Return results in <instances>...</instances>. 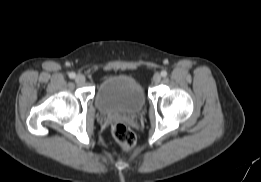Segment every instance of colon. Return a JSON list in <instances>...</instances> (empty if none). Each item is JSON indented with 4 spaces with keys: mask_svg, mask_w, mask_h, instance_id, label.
Here are the masks:
<instances>
[{
    "mask_svg": "<svg viewBox=\"0 0 261 182\" xmlns=\"http://www.w3.org/2000/svg\"><path fill=\"white\" fill-rule=\"evenodd\" d=\"M112 135L115 141L124 149H131L136 143L134 133L123 123H116L112 127Z\"/></svg>",
    "mask_w": 261,
    "mask_h": 182,
    "instance_id": "1",
    "label": "colon"
}]
</instances>
